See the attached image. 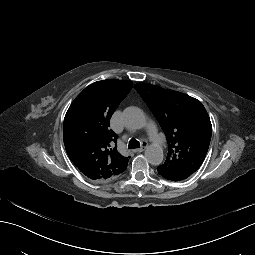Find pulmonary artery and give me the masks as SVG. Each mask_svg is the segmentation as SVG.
Instances as JSON below:
<instances>
[{
	"label": "pulmonary artery",
	"instance_id": "obj_1",
	"mask_svg": "<svg viewBox=\"0 0 255 255\" xmlns=\"http://www.w3.org/2000/svg\"><path fill=\"white\" fill-rule=\"evenodd\" d=\"M147 128L149 130L150 136H152V141L154 144L158 145V148L166 147V144L162 142L161 136L158 129L156 128V122L153 119L148 120ZM160 144V145H159Z\"/></svg>",
	"mask_w": 255,
	"mask_h": 255
}]
</instances>
